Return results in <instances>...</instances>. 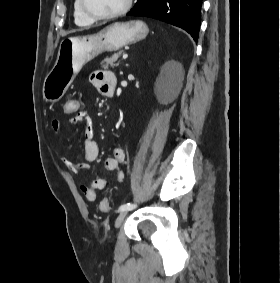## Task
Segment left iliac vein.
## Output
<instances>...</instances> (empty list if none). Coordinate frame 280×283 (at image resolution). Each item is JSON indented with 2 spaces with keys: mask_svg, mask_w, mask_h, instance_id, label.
Here are the masks:
<instances>
[{
  "mask_svg": "<svg viewBox=\"0 0 280 283\" xmlns=\"http://www.w3.org/2000/svg\"><path fill=\"white\" fill-rule=\"evenodd\" d=\"M128 210L121 211L115 220V228H120L127 216Z\"/></svg>",
  "mask_w": 280,
  "mask_h": 283,
  "instance_id": "1",
  "label": "left iliac vein"
}]
</instances>
